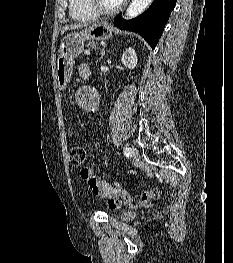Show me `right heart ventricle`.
Returning a JSON list of instances; mask_svg holds the SVG:
<instances>
[{
    "mask_svg": "<svg viewBox=\"0 0 233 263\" xmlns=\"http://www.w3.org/2000/svg\"><path fill=\"white\" fill-rule=\"evenodd\" d=\"M70 15L78 21H91L96 14L88 7L87 0H70Z\"/></svg>",
    "mask_w": 233,
    "mask_h": 263,
    "instance_id": "e07e8e85",
    "label": "right heart ventricle"
}]
</instances>
